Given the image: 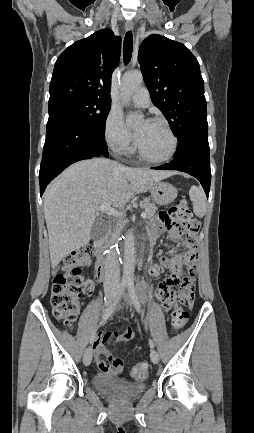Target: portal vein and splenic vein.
Masks as SVG:
<instances>
[{
	"instance_id": "18ae733b",
	"label": "portal vein and splenic vein",
	"mask_w": 254,
	"mask_h": 433,
	"mask_svg": "<svg viewBox=\"0 0 254 433\" xmlns=\"http://www.w3.org/2000/svg\"><path fill=\"white\" fill-rule=\"evenodd\" d=\"M110 205H111L110 203H104V204H101L97 208L89 209V211H92V212L101 211V212H104V213L111 215V216L123 218L124 214L122 212L116 210L115 208L111 207ZM141 217L146 218V213L145 212L141 213Z\"/></svg>"
}]
</instances>
